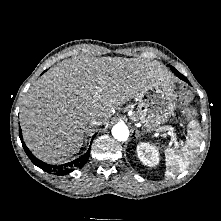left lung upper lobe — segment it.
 Returning <instances> with one entry per match:
<instances>
[{
	"mask_svg": "<svg viewBox=\"0 0 221 221\" xmlns=\"http://www.w3.org/2000/svg\"><path fill=\"white\" fill-rule=\"evenodd\" d=\"M171 69L173 72L177 71L174 67L171 66Z\"/></svg>",
	"mask_w": 221,
	"mask_h": 221,
	"instance_id": "left-lung-upper-lobe-1",
	"label": "left lung upper lobe"
}]
</instances>
